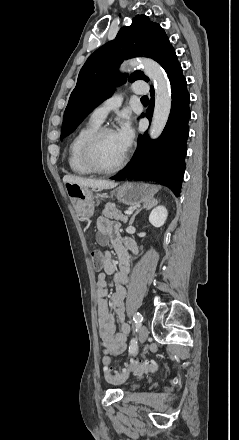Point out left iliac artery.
I'll return each mask as SVG.
<instances>
[{"mask_svg": "<svg viewBox=\"0 0 239 440\" xmlns=\"http://www.w3.org/2000/svg\"><path fill=\"white\" fill-rule=\"evenodd\" d=\"M133 320L135 323H141L143 321V316L140 313H135L133 315ZM137 342L135 339H132L130 342L129 353L134 354L136 352Z\"/></svg>", "mask_w": 239, "mask_h": 440, "instance_id": "obj_1", "label": "left iliac artery"}]
</instances>
